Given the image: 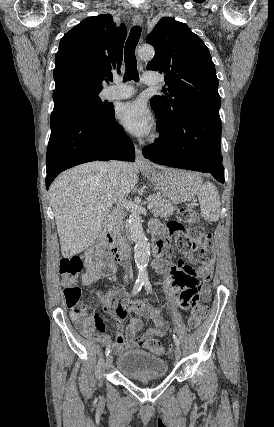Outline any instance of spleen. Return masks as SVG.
<instances>
[{
    "label": "spleen",
    "mask_w": 274,
    "mask_h": 427,
    "mask_svg": "<svg viewBox=\"0 0 274 427\" xmlns=\"http://www.w3.org/2000/svg\"><path fill=\"white\" fill-rule=\"evenodd\" d=\"M197 194L202 217L208 219V221H217L220 217L221 202L216 186L211 184V182L202 184L201 180L198 184Z\"/></svg>",
    "instance_id": "1"
}]
</instances>
